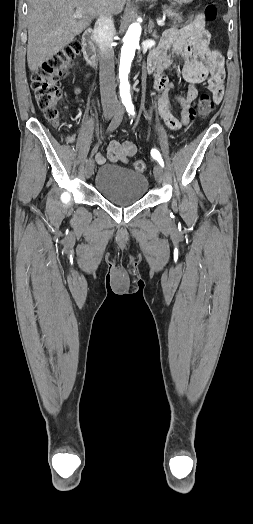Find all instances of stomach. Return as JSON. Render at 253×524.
<instances>
[{"label": "stomach", "instance_id": "1", "mask_svg": "<svg viewBox=\"0 0 253 524\" xmlns=\"http://www.w3.org/2000/svg\"><path fill=\"white\" fill-rule=\"evenodd\" d=\"M147 1H154V0H147ZM174 1L180 4L192 2V0H174Z\"/></svg>", "mask_w": 253, "mask_h": 524}]
</instances>
